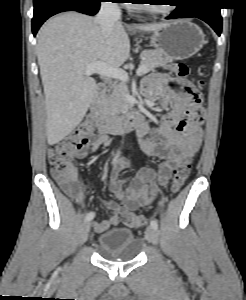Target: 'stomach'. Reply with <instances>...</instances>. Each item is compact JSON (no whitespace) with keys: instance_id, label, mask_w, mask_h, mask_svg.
Returning <instances> with one entry per match:
<instances>
[{"instance_id":"obj_1","label":"stomach","mask_w":246,"mask_h":300,"mask_svg":"<svg viewBox=\"0 0 246 300\" xmlns=\"http://www.w3.org/2000/svg\"><path fill=\"white\" fill-rule=\"evenodd\" d=\"M149 38L150 44L171 60L187 59L200 51L205 43L202 29L187 20L168 22Z\"/></svg>"}]
</instances>
